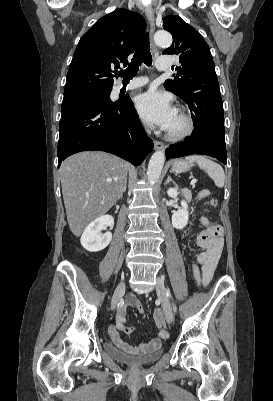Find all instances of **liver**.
<instances>
[{"instance_id":"liver-1","label":"liver","mask_w":273,"mask_h":401,"mask_svg":"<svg viewBox=\"0 0 273 401\" xmlns=\"http://www.w3.org/2000/svg\"><path fill=\"white\" fill-rule=\"evenodd\" d=\"M129 162L107 152H77L60 168L68 225L75 237L105 215L120 198Z\"/></svg>"}]
</instances>
